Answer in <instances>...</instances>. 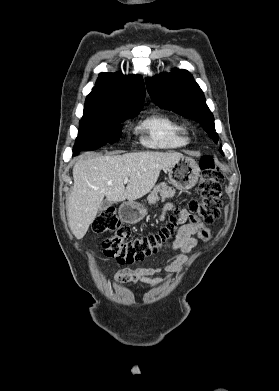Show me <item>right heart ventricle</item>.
I'll use <instances>...</instances> for the list:
<instances>
[{
	"instance_id": "1",
	"label": "right heart ventricle",
	"mask_w": 279,
	"mask_h": 391,
	"mask_svg": "<svg viewBox=\"0 0 279 391\" xmlns=\"http://www.w3.org/2000/svg\"><path fill=\"white\" fill-rule=\"evenodd\" d=\"M142 143L149 148L176 149L189 142L186 127L176 119L155 114L144 119L138 127Z\"/></svg>"
}]
</instances>
